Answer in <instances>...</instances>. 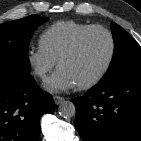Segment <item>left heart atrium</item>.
<instances>
[{"instance_id":"39dd6f15","label":"left heart atrium","mask_w":141,"mask_h":141,"mask_svg":"<svg viewBox=\"0 0 141 141\" xmlns=\"http://www.w3.org/2000/svg\"><path fill=\"white\" fill-rule=\"evenodd\" d=\"M77 84L71 75L64 69L59 68L51 77L44 82V88L52 93L65 92Z\"/></svg>"}]
</instances>
